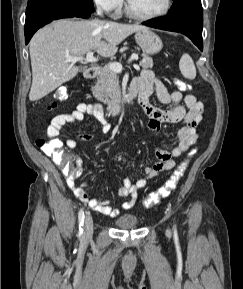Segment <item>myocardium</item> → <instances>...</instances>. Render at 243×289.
I'll return each mask as SVG.
<instances>
[{
    "mask_svg": "<svg viewBox=\"0 0 243 289\" xmlns=\"http://www.w3.org/2000/svg\"><path fill=\"white\" fill-rule=\"evenodd\" d=\"M171 7H172V0H166L165 6L161 11H159L155 14L142 15V14H139L132 9V7L129 3V0H125V3H124L125 13L133 19L142 20V21L160 18V17L166 15L170 11Z\"/></svg>",
    "mask_w": 243,
    "mask_h": 289,
    "instance_id": "obj_1",
    "label": "myocardium"
}]
</instances>
